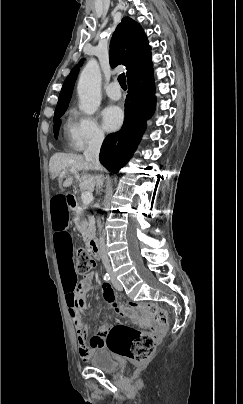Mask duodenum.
Masks as SVG:
<instances>
[{
  "label": "duodenum",
  "instance_id": "1",
  "mask_svg": "<svg viewBox=\"0 0 243 404\" xmlns=\"http://www.w3.org/2000/svg\"><path fill=\"white\" fill-rule=\"evenodd\" d=\"M68 205L72 210H76L78 208L77 198L74 194L68 193L67 194ZM88 249L92 256L99 260L101 258V252L99 249V245L95 239H91L88 243Z\"/></svg>",
  "mask_w": 243,
  "mask_h": 404
}]
</instances>
